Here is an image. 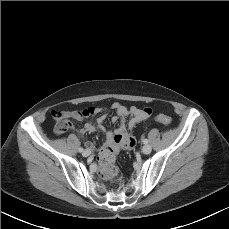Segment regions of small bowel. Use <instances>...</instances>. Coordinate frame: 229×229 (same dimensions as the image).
Segmentation results:
<instances>
[{
    "label": "small bowel",
    "instance_id": "small-bowel-1",
    "mask_svg": "<svg viewBox=\"0 0 229 229\" xmlns=\"http://www.w3.org/2000/svg\"><path fill=\"white\" fill-rule=\"evenodd\" d=\"M112 107L116 111V116L112 118V121L113 122H116L118 120L121 121V125L119 126L117 130L105 132V129L103 128L102 123L104 122L106 116L101 115L96 120V123L87 122L84 124L83 127L78 129V132L81 136H84L86 134L93 133L96 131H102V132H105V135H106V139H107L106 146L107 147H110L117 152L120 151L121 147L132 149L136 145V139L132 135H129L126 132L125 118L128 116H131V119L128 123V127L133 128L136 124L145 121L149 116L144 114L143 108H138V107L128 108L119 103H114ZM88 111H94V114H95V113L102 111V109L95 108V107H88L80 111H72L69 114L77 120H82L85 117L84 113ZM115 136L122 137L119 143L114 142ZM85 145L89 148L93 146L90 142H85Z\"/></svg>",
    "mask_w": 229,
    "mask_h": 229
}]
</instances>
